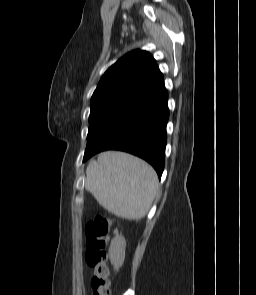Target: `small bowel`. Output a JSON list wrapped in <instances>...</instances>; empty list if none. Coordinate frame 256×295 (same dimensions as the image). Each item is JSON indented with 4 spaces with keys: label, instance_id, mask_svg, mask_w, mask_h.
Segmentation results:
<instances>
[{
    "label": "small bowel",
    "instance_id": "c3829d8e",
    "mask_svg": "<svg viewBox=\"0 0 256 295\" xmlns=\"http://www.w3.org/2000/svg\"><path fill=\"white\" fill-rule=\"evenodd\" d=\"M109 252L112 263L115 266H120L125 254V240L122 236L115 235L110 240Z\"/></svg>",
    "mask_w": 256,
    "mask_h": 295
}]
</instances>
